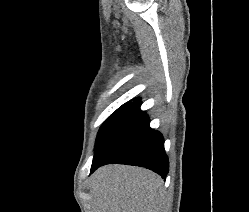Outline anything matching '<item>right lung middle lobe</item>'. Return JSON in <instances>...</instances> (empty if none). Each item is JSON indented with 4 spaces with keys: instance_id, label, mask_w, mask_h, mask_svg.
I'll return each mask as SVG.
<instances>
[{
    "instance_id": "1",
    "label": "right lung middle lobe",
    "mask_w": 249,
    "mask_h": 212,
    "mask_svg": "<svg viewBox=\"0 0 249 212\" xmlns=\"http://www.w3.org/2000/svg\"><path fill=\"white\" fill-rule=\"evenodd\" d=\"M131 104V102H127L119 107L101 126L95 143V150L97 149L99 143L105 136V134L109 131L111 125L117 120V118L122 114V112Z\"/></svg>"
}]
</instances>
